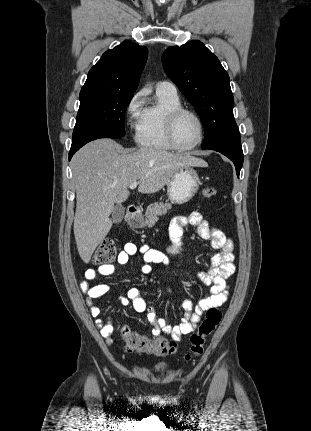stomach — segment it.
<instances>
[{
    "instance_id": "1",
    "label": "stomach",
    "mask_w": 311,
    "mask_h": 431,
    "mask_svg": "<svg viewBox=\"0 0 311 431\" xmlns=\"http://www.w3.org/2000/svg\"><path fill=\"white\" fill-rule=\"evenodd\" d=\"M200 184V178L192 166L182 168L171 178L167 186L168 200L179 206L186 204L197 194ZM128 225L129 227H144L146 221L144 217L132 216L128 219Z\"/></svg>"
}]
</instances>
